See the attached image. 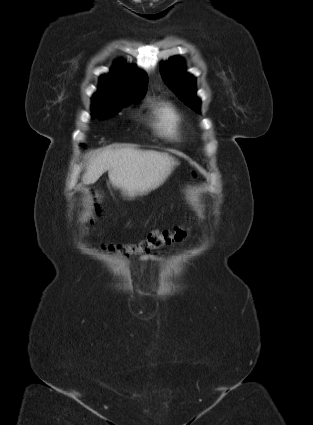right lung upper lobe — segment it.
<instances>
[{
	"label": "right lung upper lobe",
	"instance_id": "obj_1",
	"mask_svg": "<svg viewBox=\"0 0 313 425\" xmlns=\"http://www.w3.org/2000/svg\"><path fill=\"white\" fill-rule=\"evenodd\" d=\"M147 83L148 78L143 71L126 65L122 60L118 61L108 75L100 77L99 88L92 102L109 98L139 101L146 92Z\"/></svg>",
	"mask_w": 313,
	"mask_h": 425
}]
</instances>
